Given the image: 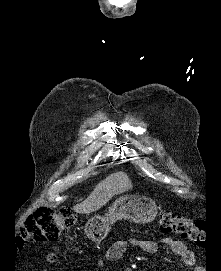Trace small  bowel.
Here are the masks:
<instances>
[{
  "label": "small bowel",
  "instance_id": "obj_1",
  "mask_svg": "<svg viewBox=\"0 0 221 271\" xmlns=\"http://www.w3.org/2000/svg\"><path fill=\"white\" fill-rule=\"evenodd\" d=\"M161 244L169 248L172 253L179 256L186 265H194V254L182 241L173 238H163ZM129 245L138 247L147 254H155L158 251V245L153 240L138 238L118 240L105 252L104 258L98 260V267L103 268L105 261L113 262L119 260ZM127 271L130 270L127 269Z\"/></svg>",
  "mask_w": 221,
  "mask_h": 271
}]
</instances>
